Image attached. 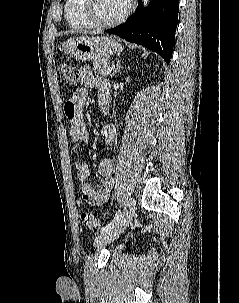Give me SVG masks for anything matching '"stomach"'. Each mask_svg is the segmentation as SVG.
Instances as JSON below:
<instances>
[{
  "label": "stomach",
  "mask_w": 239,
  "mask_h": 303,
  "mask_svg": "<svg viewBox=\"0 0 239 303\" xmlns=\"http://www.w3.org/2000/svg\"><path fill=\"white\" fill-rule=\"evenodd\" d=\"M122 48L118 40L108 36L71 38L64 45L67 55L81 61H107L112 55L119 54Z\"/></svg>",
  "instance_id": "0dacf381"
}]
</instances>
